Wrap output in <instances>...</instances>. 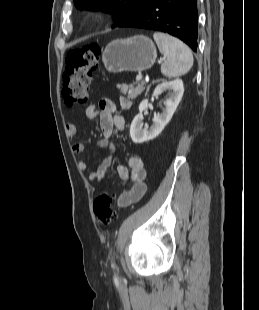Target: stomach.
<instances>
[{"label":"stomach","mask_w":259,"mask_h":310,"mask_svg":"<svg viewBox=\"0 0 259 310\" xmlns=\"http://www.w3.org/2000/svg\"><path fill=\"white\" fill-rule=\"evenodd\" d=\"M156 57L153 41L142 35L114 40L102 53V61L110 73L147 70L154 64Z\"/></svg>","instance_id":"0dacf381"}]
</instances>
